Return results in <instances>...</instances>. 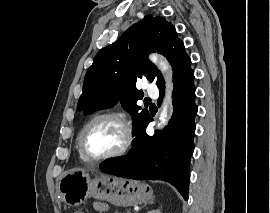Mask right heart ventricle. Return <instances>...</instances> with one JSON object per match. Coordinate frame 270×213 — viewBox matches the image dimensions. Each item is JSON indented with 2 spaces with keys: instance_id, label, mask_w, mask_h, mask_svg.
<instances>
[{
  "instance_id": "right-heart-ventricle-1",
  "label": "right heart ventricle",
  "mask_w": 270,
  "mask_h": 213,
  "mask_svg": "<svg viewBox=\"0 0 270 213\" xmlns=\"http://www.w3.org/2000/svg\"><path fill=\"white\" fill-rule=\"evenodd\" d=\"M79 134H78L77 139H76L77 152H78V155H79L80 159L82 161L86 162L87 160L83 157V155L80 152V148H79Z\"/></svg>"
}]
</instances>
